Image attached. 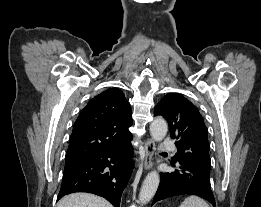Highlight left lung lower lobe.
Wrapping results in <instances>:
<instances>
[{"instance_id": "left-lung-lower-lobe-1", "label": "left lung lower lobe", "mask_w": 261, "mask_h": 207, "mask_svg": "<svg viewBox=\"0 0 261 207\" xmlns=\"http://www.w3.org/2000/svg\"><path fill=\"white\" fill-rule=\"evenodd\" d=\"M177 169L170 173H161V182L153 199L152 205L162 199L176 195H197L206 199L215 207V199L211 190L210 173L186 163L172 161Z\"/></svg>"}]
</instances>
